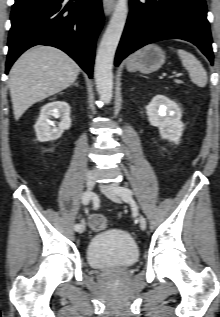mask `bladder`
Wrapping results in <instances>:
<instances>
[{"mask_svg": "<svg viewBox=\"0 0 220 317\" xmlns=\"http://www.w3.org/2000/svg\"><path fill=\"white\" fill-rule=\"evenodd\" d=\"M86 259L96 269H125L139 259V249L124 230L111 229L95 234L87 244Z\"/></svg>", "mask_w": 220, "mask_h": 317, "instance_id": "1", "label": "bladder"}]
</instances>
